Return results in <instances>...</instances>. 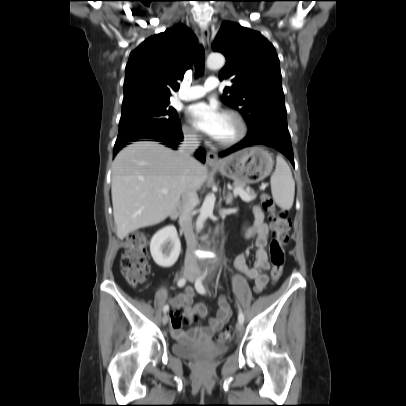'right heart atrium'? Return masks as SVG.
Listing matches in <instances>:
<instances>
[{
  "mask_svg": "<svg viewBox=\"0 0 406 406\" xmlns=\"http://www.w3.org/2000/svg\"><path fill=\"white\" fill-rule=\"evenodd\" d=\"M181 132L186 140L197 141L199 139V135L196 130L187 124L182 125Z\"/></svg>",
  "mask_w": 406,
  "mask_h": 406,
  "instance_id": "right-heart-atrium-1",
  "label": "right heart atrium"
}]
</instances>
